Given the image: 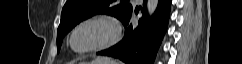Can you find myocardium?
I'll return each mask as SVG.
<instances>
[{
  "label": "myocardium",
  "mask_w": 242,
  "mask_h": 64,
  "mask_svg": "<svg viewBox=\"0 0 242 64\" xmlns=\"http://www.w3.org/2000/svg\"><path fill=\"white\" fill-rule=\"evenodd\" d=\"M94 24H100L108 27L109 28L108 35L102 41L96 44H93L89 47H86L83 49L75 48L73 44V40L75 35L78 33V31H80L82 28L86 26L94 25ZM120 38H121V27L116 20L108 16L95 15L81 20L73 27L68 37V44L75 53L86 54V53L108 49L114 46L116 43H118Z\"/></svg>",
  "instance_id": "myocardium-1"
}]
</instances>
